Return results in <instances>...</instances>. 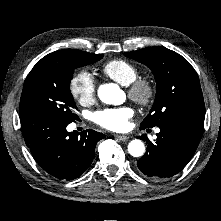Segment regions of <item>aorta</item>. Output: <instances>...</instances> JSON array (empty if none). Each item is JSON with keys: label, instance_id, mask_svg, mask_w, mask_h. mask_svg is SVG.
Segmentation results:
<instances>
[{"label": "aorta", "instance_id": "obj_1", "mask_svg": "<svg viewBox=\"0 0 221 221\" xmlns=\"http://www.w3.org/2000/svg\"><path fill=\"white\" fill-rule=\"evenodd\" d=\"M120 88L113 83H105L99 86L98 96L100 100L106 104H119ZM128 152L133 157H140L145 153V145L139 140H132L128 144Z\"/></svg>", "mask_w": 221, "mask_h": 221}]
</instances>
